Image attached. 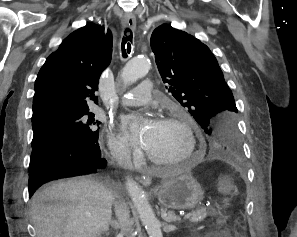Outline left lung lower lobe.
Returning <instances> with one entry per match:
<instances>
[{
  "mask_svg": "<svg viewBox=\"0 0 297 237\" xmlns=\"http://www.w3.org/2000/svg\"><path fill=\"white\" fill-rule=\"evenodd\" d=\"M207 154L211 155V156H217V157H222L220 156L216 151L212 150V149H208Z\"/></svg>",
  "mask_w": 297,
  "mask_h": 237,
  "instance_id": "left-lung-lower-lobe-1",
  "label": "left lung lower lobe"
}]
</instances>
